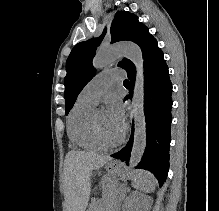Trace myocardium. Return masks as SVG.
<instances>
[{"mask_svg": "<svg viewBox=\"0 0 219 211\" xmlns=\"http://www.w3.org/2000/svg\"><path fill=\"white\" fill-rule=\"evenodd\" d=\"M98 110L99 109H94L91 115V125H92L94 133L106 145L115 146V145L120 144L125 138V131H121L120 134H118L115 137H110L107 134H105L100 128L99 123L97 121Z\"/></svg>", "mask_w": 219, "mask_h": 211, "instance_id": "1", "label": "myocardium"}]
</instances>
